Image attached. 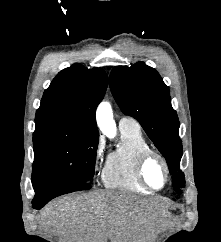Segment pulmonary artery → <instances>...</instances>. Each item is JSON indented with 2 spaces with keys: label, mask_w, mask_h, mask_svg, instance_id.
I'll return each mask as SVG.
<instances>
[{
  "label": "pulmonary artery",
  "mask_w": 221,
  "mask_h": 242,
  "mask_svg": "<svg viewBox=\"0 0 221 242\" xmlns=\"http://www.w3.org/2000/svg\"><path fill=\"white\" fill-rule=\"evenodd\" d=\"M119 128H134L140 129L139 124L132 118L129 117H122L119 120Z\"/></svg>",
  "instance_id": "e3ab8cb5"
}]
</instances>
